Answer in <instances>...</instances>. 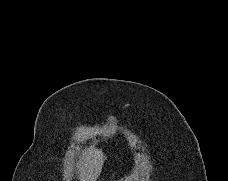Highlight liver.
<instances>
[{
  "instance_id": "1",
  "label": "liver",
  "mask_w": 228,
  "mask_h": 181,
  "mask_svg": "<svg viewBox=\"0 0 228 181\" xmlns=\"http://www.w3.org/2000/svg\"><path fill=\"white\" fill-rule=\"evenodd\" d=\"M104 153L100 149H91L87 153H83L82 165L79 167L80 177L79 181H97L104 163ZM138 181L136 175H130V177H124V181ZM123 181V179H121Z\"/></svg>"
}]
</instances>
